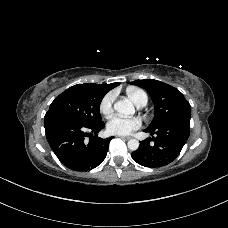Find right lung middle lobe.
Masks as SVG:
<instances>
[{
	"label": "right lung middle lobe",
	"instance_id": "right-lung-middle-lobe-1",
	"mask_svg": "<svg viewBox=\"0 0 228 228\" xmlns=\"http://www.w3.org/2000/svg\"><path fill=\"white\" fill-rule=\"evenodd\" d=\"M106 93L94 83L74 85L54 99L45 116L63 115L86 125L100 123L99 107Z\"/></svg>",
	"mask_w": 228,
	"mask_h": 228
}]
</instances>
